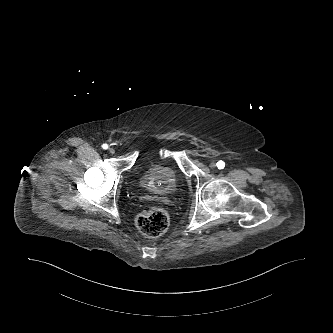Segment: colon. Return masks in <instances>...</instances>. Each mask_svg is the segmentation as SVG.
<instances>
[{"label":"colon","mask_w":333,"mask_h":333,"mask_svg":"<svg viewBox=\"0 0 333 333\" xmlns=\"http://www.w3.org/2000/svg\"><path fill=\"white\" fill-rule=\"evenodd\" d=\"M169 225L168 213L162 208H154L138 215L136 226L144 235L157 237L162 235Z\"/></svg>","instance_id":"obj_1"}]
</instances>
